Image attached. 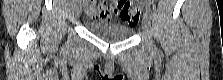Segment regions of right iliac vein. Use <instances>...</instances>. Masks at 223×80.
<instances>
[{
	"mask_svg": "<svg viewBox=\"0 0 223 80\" xmlns=\"http://www.w3.org/2000/svg\"><path fill=\"white\" fill-rule=\"evenodd\" d=\"M81 12H82V6H81V4L78 3V4H76L75 9H74L75 17L78 18L80 16Z\"/></svg>",
	"mask_w": 223,
	"mask_h": 80,
	"instance_id": "obj_1",
	"label": "right iliac vein"
}]
</instances>
